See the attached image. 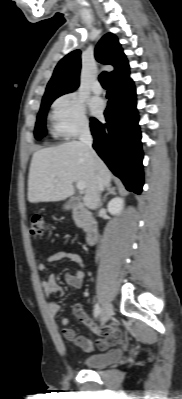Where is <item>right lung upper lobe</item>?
Returning a JSON list of instances; mask_svg holds the SVG:
<instances>
[{
	"mask_svg": "<svg viewBox=\"0 0 182 399\" xmlns=\"http://www.w3.org/2000/svg\"><path fill=\"white\" fill-rule=\"evenodd\" d=\"M80 54V50L72 51L57 64L53 76L48 82L43 99L59 97L79 86ZM95 56L99 62L114 66V71L109 74L110 80L129 74L128 61L116 36L112 33L104 35L99 41Z\"/></svg>",
	"mask_w": 182,
	"mask_h": 399,
	"instance_id": "obj_1",
	"label": "right lung upper lobe"
}]
</instances>
